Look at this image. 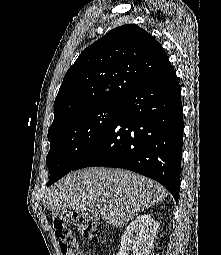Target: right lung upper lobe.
<instances>
[{"label": "right lung upper lobe", "instance_id": "cb5924a9", "mask_svg": "<svg viewBox=\"0 0 221 255\" xmlns=\"http://www.w3.org/2000/svg\"><path fill=\"white\" fill-rule=\"evenodd\" d=\"M168 63L161 45L137 25L109 31L68 69L55 99L52 126L81 109L121 103Z\"/></svg>", "mask_w": 221, "mask_h": 255}]
</instances>
